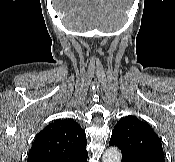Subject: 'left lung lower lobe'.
<instances>
[{
	"instance_id": "1",
	"label": "left lung lower lobe",
	"mask_w": 175,
	"mask_h": 162,
	"mask_svg": "<svg viewBox=\"0 0 175 162\" xmlns=\"http://www.w3.org/2000/svg\"><path fill=\"white\" fill-rule=\"evenodd\" d=\"M122 162H164V157L157 155H149L136 158L132 161H126L122 159Z\"/></svg>"
}]
</instances>
